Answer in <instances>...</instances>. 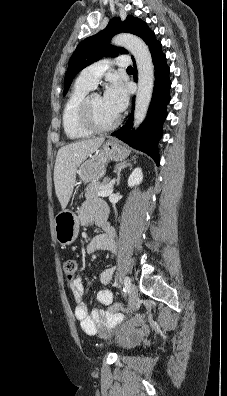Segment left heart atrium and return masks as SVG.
I'll list each match as a JSON object with an SVG mask.
<instances>
[{
  "label": "left heart atrium",
  "mask_w": 227,
  "mask_h": 396,
  "mask_svg": "<svg viewBox=\"0 0 227 396\" xmlns=\"http://www.w3.org/2000/svg\"><path fill=\"white\" fill-rule=\"evenodd\" d=\"M106 107L118 116L128 104V93L124 85L117 79H113L108 84L103 95Z\"/></svg>",
  "instance_id": "1"
}]
</instances>
